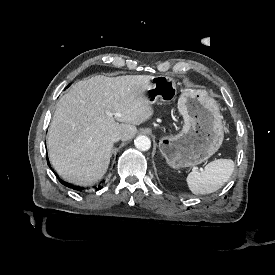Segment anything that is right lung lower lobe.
Returning <instances> with one entry per match:
<instances>
[{
  "label": "right lung lower lobe",
  "instance_id": "obj_1",
  "mask_svg": "<svg viewBox=\"0 0 275 275\" xmlns=\"http://www.w3.org/2000/svg\"><path fill=\"white\" fill-rule=\"evenodd\" d=\"M48 165L50 166V164H49V162H48ZM60 182L63 184V185H65V186H67V187H69V188H72V189H75V190H77V191H82V187H79V186H74V185H71L70 183H67V182H64V181H62L61 179H60ZM100 187H98V189H99Z\"/></svg>",
  "mask_w": 275,
  "mask_h": 275
}]
</instances>
